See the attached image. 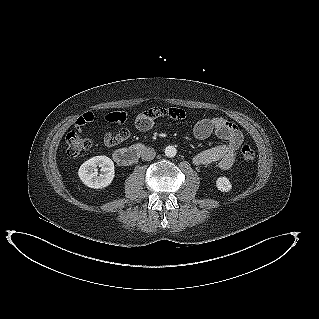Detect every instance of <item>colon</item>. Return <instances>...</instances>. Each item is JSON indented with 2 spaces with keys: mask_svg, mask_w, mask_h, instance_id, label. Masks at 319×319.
<instances>
[{
  "mask_svg": "<svg viewBox=\"0 0 319 319\" xmlns=\"http://www.w3.org/2000/svg\"><path fill=\"white\" fill-rule=\"evenodd\" d=\"M106 119L120 124L125 122L126 116L122 112H116L107 115ZM65 140L67 146L66 152L70 157H76L91 147V141L76 132L68 133ZM242 157L245 161L252 162L255 158V152L249 146H244L242 148Z\"/></svg>",
  "mask_w": 319,
  "mask_h": 319,
  "instance_id": "5ec220e1",
  "label": "colon"
}]
</instances>
